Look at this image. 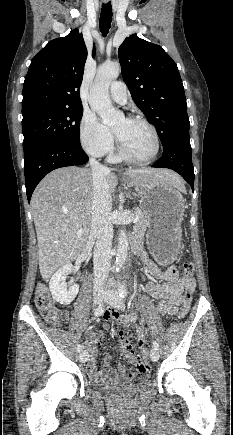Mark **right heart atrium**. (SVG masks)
Wrapping results in <instances>:
<instances>
[{
    "label": "right heart atrium",
    "mask_w": 233,
    "mask_h": 435,
    "mask_svg": "<svg viewBox=\"0 0 233 435\" xmlns=\"http://www.w3.org/2000/svg\"><path fill=\"white\" fill-rule=\"evenodd\" d=\"M79 140L82 148L95 157L103 156L113 149V135L92 112H85L79 126Z\"/></svg>",
    "instance_id": "1"
}]
</instances>
